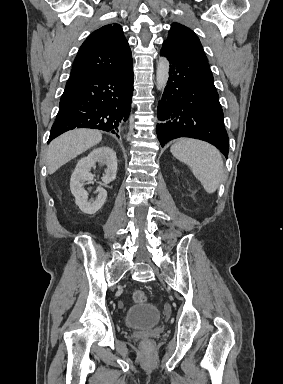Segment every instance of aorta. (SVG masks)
Here are the masks:
<instances>
[{
	"instance_id": "762f6f07",
	"label": "aorta",
	"mask_w": 283,
	"mask_h": 384,
	"mask_svg": "<svg viewBox=\"0 0 283 384\" xmlns=\"http://www.w3.org/2000/svg\"><path fill=\"white\" fill-rule=\"evenodd\" d=\"M170 64L166 58H160L157 63L156 84L158 90H164L169 78Z\"/></svg>"
}]
</instances>
